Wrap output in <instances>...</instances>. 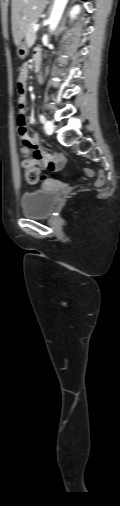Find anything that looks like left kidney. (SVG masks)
<instances>
[{"mask_svg": "<svg viewBox=\"0 0 120 506\" xmlns=\"http://www.w3.org/2000/svg\"><path fill=\"white\" fill-rule=\"evenodd\" d=\"M80 13V6L79 5H75L72 10L70 11V17L73 19L76 17V15H78Z\"/></svg>", "mask_w": 120, "mask_h": 506, "instance_id": "obj_1", "label": "left kidney"}]
</instances>
